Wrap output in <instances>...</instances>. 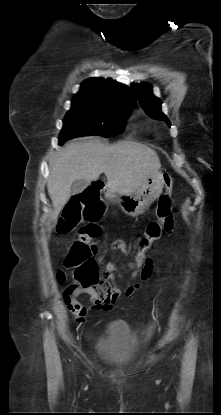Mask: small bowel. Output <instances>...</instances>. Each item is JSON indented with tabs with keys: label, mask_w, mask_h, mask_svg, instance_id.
<instances>
[{
	"label": "small bowel",
	"mask_w": 221,
	"mask_h": 415,
	"mask_svg": "<svg viewBox=\"0 0 221 415\" xmlns=\"http://www.w3.org/2000/svg\"><path fill=\"white\" fill-rule=\"evenodd\" d=\"M173 227V220L170 221L168 225L164 227V231L170 232ZM108 249L120 250L125 254L130 253V248L126 241L123 239H116L114 240L109 246ZM148 261L146 263V269L144 271H140L139 275L142 282L148 280L153 272L156 270V266L153 260L148 257ZM128 267L132 269V262L128 263H121L118 267H113L112 269L115 270V275H120L121 271ZM106 269V268H105ZM111 281L112 278L110 279ZM141 283H131L128 284L126 290L124 292L125 296L130 297L133 293L140 287ZM81 294H87L90 297L91 306L86 307L82 305L78 301V297ZM123 295L121 289L114 283L111 282L110 285L105 290H100L95 286H78L72 285L68 287L64 292V299L68 306L69 311L71 314L76 318L78 322H83L85 316L87 315L89 310H109L112 304L118 300Z\"/></svg>",
	"instance_id": "small-bowel-1"
}]
</instances>
